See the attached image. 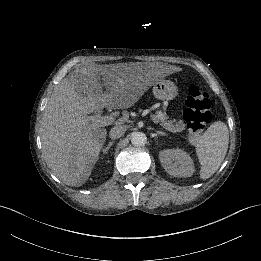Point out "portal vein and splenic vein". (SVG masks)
<instances>
[{
	"label": "portal vein and splenic vein",
	"mask_w": 261,
	"mask_h": 261,
	"mask_svg": "<svg viewBox=\"0 0 261 261\" xmlns=\"http://www.w3.org/2000/svg\"><path fill=\"white\" fill-rule=\"evenodd\" d=\"M150 120L157 126L160 127V123H158V119L153 115H149ZM113 117H100L99 119L96 120L97 124L99 126H106L112 123Z\"/></svg>",
	"instance_id": "obj_1"
}]
</instances>
